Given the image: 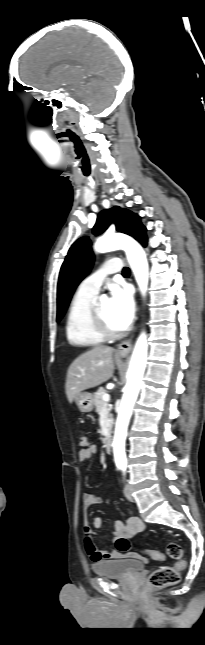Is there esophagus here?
<instances>
[{
    "mask_svg": "<svg viewBox=\"0 0 205 645\" xmlns=\"http://www.w3.org/2000/svg\"><path fill=\"white\" fill-rule=\"evenodd\" d=\"M132 348V338L122 341L117 347V353L120 355H127Z\"/></svg>",
    "mask_w": 205,
    "mask_h": 645,
    "instance_id": "esophagus-1",
    "label": "esophagus"
}]
</instances>
